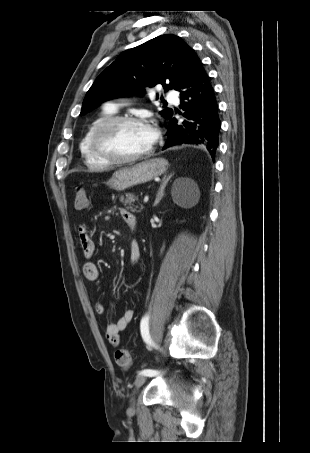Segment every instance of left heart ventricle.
<instances>
[{
	"mask_svg": "<svg viewBox=\"0 0 310 453\" xmlns=\"http://www.w3.org/2000/svg\"><path fill=\"white\" fill-rule=\"evenodd\" d=\"M151 146L145 126L123 124L113 130L104 140L105 149L118 157H130L146 151Z\"/></svg>",
	"mask_w": 310,
	"mask_h": 453,
	"instance_id": "b2bd125f",
	"label": "left heart ventricle"
}]
</instances>
